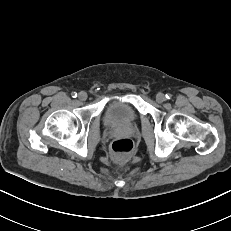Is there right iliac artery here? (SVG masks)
I'll use <instances>...</instances> for the list:
<instances>
[{"mask_svg":"<svg viewBox=\"0 0 231 231\" xmlns=\"http://www.w3.org/2000/svg\"><path fill=\"white\" fill-rule=\"evenodd\" d=\"M71 96H72L73 98H76V97H77V93H76V92H72V93H71Z\"/></svg>","mask_w":231,"mask_h":231,"instance_id":"82829eb1","label":"right iliac artery"}]
</instances>
